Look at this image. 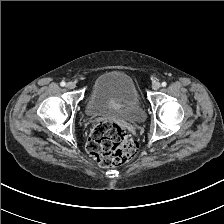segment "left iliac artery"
<instances>
[{"instance_id":"1","label":"left iliac artery","mask_w":224,"mask_h":224,"mask_svg":"<svg viewBox=\"0 0 224 224\" xmlns=\"http://www.w3.org/2000/svg\"><path fill=\"white\" fill-rule=\"evenodd\" d=\"M163 87H166L167 83L166 82H162L161 84Z\"/></svg>"}]
</instances>
